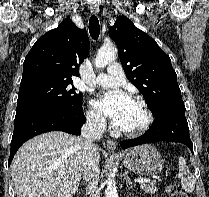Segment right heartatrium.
I'll return each instance as SVG.
<instances>
[{
  "label": "right heart atrium",
  "mask_w": 209,
  "mask_h": 197,
  "mask_svg": "<svg viewBox=\"0 0 209 197\" xmlns=\"http://www.w3.org/2000/svg\"><path fill=\"white\" fill-rule=\"evenodd\" d=\"M88 123L95 129H103L106 125L105 119L102 114L93 107H90L86 112Z\"/></svg>",
  "instance_id": "right-heart-atrium-1"
}]
</instances>
